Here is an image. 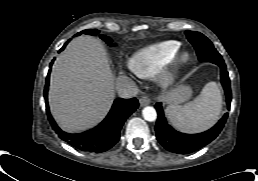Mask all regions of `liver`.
<instances>
[{"instance_id": "6515ba94", "label": "liver", "mask_w": 258, "mask_h": 181, "mask_svg": "<svg viewBox=\"0 0 258 181\" xmlns=\"http://www.w3.org/2000/svg\"><path fill=\"white\" fill-rule=\"evenodd\" d=\"M114 80L100 42L87 35L73 39L51 72L49 105L58 125L79 132L102 120L115 97Z\"/></svg>"}]
</instances>
